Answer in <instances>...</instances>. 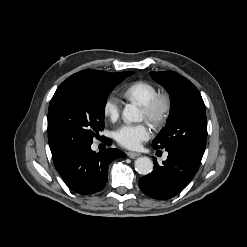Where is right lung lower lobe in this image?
<instances>
[{"instance_id":"right-lung-lower-lobe-1","label":"right lung lower lobe","mask_w":247,"mask_h":247,"mask_svg":"<svg viewBox=\"0 0 247 247\" xmlns=\"http://www.w3.org/2000/svg\"><path fill=\"white\" fill-rule=\"evenodd\" d=\"M111 143V140L105 138ZM122 151L108 148L97 154L91 144L74 146L53 157L56 170L67 186L80 194H93L103 188L108 179V166L116 158H125Z\"/></svg>"}]
</instances>
